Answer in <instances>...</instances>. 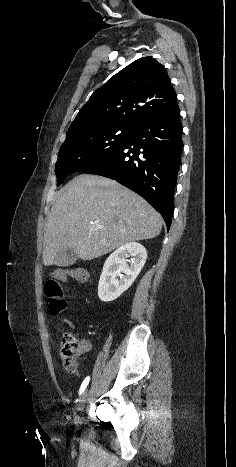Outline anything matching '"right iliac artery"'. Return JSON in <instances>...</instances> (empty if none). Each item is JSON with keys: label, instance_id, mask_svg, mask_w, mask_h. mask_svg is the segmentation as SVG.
Masks as SVG:
<instances>
[{"label": "right iliac artery", "instance_id": "obj_1", "mask_svg": "<svg viewBox=\"0 0 236 467\" xmlns=\"http://www.w3.org/2000/svg\"><path fill=\"white\" fill-rule=\"evenodd\" d=\"M89 380H90V377H86L84 379V381L82 382L81 384V387H80V390H79V394L81 395L83 393V391L85 390V388L87 387L88 383H89Z\"/></svg>", "mask_w": 236, "mask_h": 467}]
</instances>
